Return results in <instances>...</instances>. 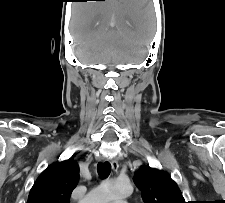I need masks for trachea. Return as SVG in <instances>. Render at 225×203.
Segmentation results:
<instances>
[{
	"instance_id": "3493384b",
	"label": "trachea",
	"mask_w": 225,
	"mask_h": 203,
	"mask_svg": "<svg viewBox=\"0 0 225 203\" xmlns=\"http://www.w3.org/2000/svg\"><path fill=\"white\" fill-rule=\"evenodd\" d=\"M97 172L99 174V177L101 179H105L109 176L111 172V165L109 162H103V163H98L97 165Z\"/></svg>"
}]
</instances>
